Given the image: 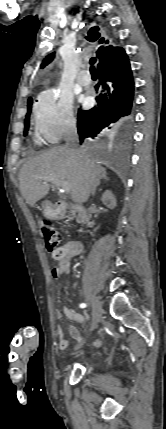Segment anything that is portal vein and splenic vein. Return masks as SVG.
<instances>
[{
    "instance_id": "18ae733b",
    "label": "portal vein and splenic vein",
    "mask_w": 166,
    "mask_h": 429,
    "mask_svg": "<svg viewBox=\"0 0 166 429\" xmlns=\"http://www.w3.org/2000/svg\"><path fill=\"white\" fill-rule=\"evenodd\" d=\"M48 181H51L54 185L60 187L62 192L68 193L70 191L71 185L67 181L61 182V181L53 180V179L44 180V182H48Z\"/></svg>"
}]
</instances>
